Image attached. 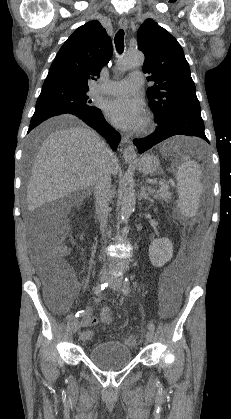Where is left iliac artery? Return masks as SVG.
Here are the masks:
<instances>
[{
	"label": "left iliac artery",
	"mask_w": 231,
	"mask_h": 419,
	"mask_svg": "<svg viewBox=\"0 0 231 419\" xmlns=\"http://www.w3.org/2000/svg\"><path fill=\"white\" fill-rule=\"evenodd\" d=\"M122 291H123V294H124L125 296H127V295L129 294V292H130V283H129V280H128L127 278H125V281H124V284H123ZM148 328H149V330H151L152 332H154V330H155V326H154V324H153L152 322H150V323L148 324Z\"/></svg>",
	"instance_id": "obj_1"
}]
</instances>
